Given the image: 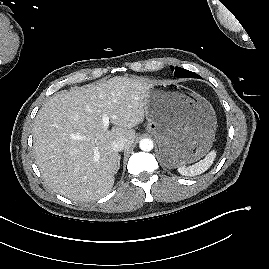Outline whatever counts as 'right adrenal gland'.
<instances>
[{
	"label": "right adrenal gland",
	"instance_id": "1",
	"mask_svg": "<svg viewBox=\"0 0 269 269\" xmlns=\"http://www.w3.org/2000/svg\"><path fill=\"white\" fill-rule=\"evenodd\" d=\"M119 168H120V160L118 161L117 171L119 170Z\"/></svg>",
	"mask_w": 269,
	"mask_h": 269
}]
</instances>
